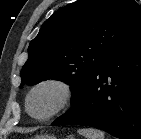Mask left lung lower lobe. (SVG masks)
Instances as JSON below:
<instances>
[{
	"label": "left lung lower lobe",
	"instance_id": "left-lung-lower-lobe-1",
	"mask_svg": "<svg viewBox=\"0 0 141 139\" xmlns=\"http://www.w3.org/2000/svg\"><path fill=\"white\" fill-rule=\"evenodd\" d=\"M66 124L141 139V28L103 59L71 108L52 123Z\"/></svg>",
	"mask_w": 141,
	"mask_h": 139
}]
</instances>
